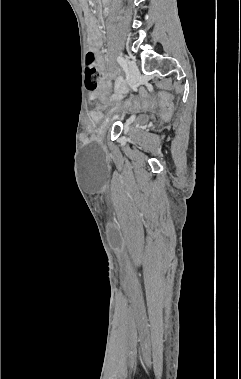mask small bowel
Segmentation results:
<instances>
[{"label":"small bowel","instance_id":"obj_1","mask_svg":"<svg viewBox=\"0 0 241 379\" xmlns=\"http://www.w3.org/2000/svg\"><path fill=\"white\" fill-rule=\"evenodd\" d=\"M91 43H92L93 49L98 50V48L101 44V39H100V37L96 31H92ZM98 66H99L101 73L104 76V65H103L102 61H99ZM105 87H109V85L104 84L102 88H105ZM85 91H86V93H90L91 99L89 100V105L91 106V108H94V106L96 105L97 96L101 95V90L98 88V86L92 85V86H86ZM103 107H104V102L98 101L97 102V108H103ZM97 117L98 116L95 115V118H97Z\"/></svg>","mask_w":241,"mask_h":379}]
</instances>
